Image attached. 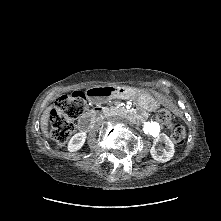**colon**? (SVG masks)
<instances>
[{
	"instance_id": "1",
	"label": "colon",
	"mask_w": 221,
	"mask_h": 221,
	"mask_svg": "<svg viewBox=\"0 0 221 221\" xmlns=\"http://www.w3.org/2000/svg\"><path fill=\"white\" fill-rule=\"evenodd\" d=\"M86 108V98L83 93L77 92L61 97L56 105L52 117L53 136L56 142L64 145L74 131V121ZM157 119L167 125L170 137L173 142L180 145L185 139V129L179 123L171 122V114L167 109H160L157 112Z\"/></svg>"
}]
</instances>
